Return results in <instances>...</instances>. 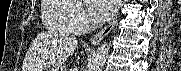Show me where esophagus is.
I'll use <instances>...</instances> for the list:
<instances>
[{
	"label": "esophagus",
	"mask_w": 181,
	"mask_h": 71,
	"mask_svg": "<svg viewBox=\"0 0 181 71\" xmlns=\"http://www.w3.org/2000/svg\"><path fill=\"white\" fill-rule=\"evenodd\" d=\"M117 22V17L114 18L107 26H105L98 34H96L91 40L90 43L91 44H97L99 43L101 40H103V38H105L114 28V26L116 25Z\"/></svg>",
	"instance_id": "1"
}]
</instances>
